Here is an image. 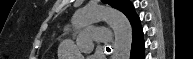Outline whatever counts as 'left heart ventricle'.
I'll use <instances>...</instances> for the list:
<instances>
[{"instance_id":"left-heart-ventricle-1","label":"left heart ventricle","mask_w":193,"mask_h":59,"mask_svg":"<svg viewBox=\"0 0 193 59\" xmlns=\"http://www.w3.org/2000/svg\"><path fill=\"white\" fill-rule=\"evenodd\" d=\"M79 51H80V53H81L82 55H85V54L88 53V49H79Z\"/></svg>"}]
</instances>
